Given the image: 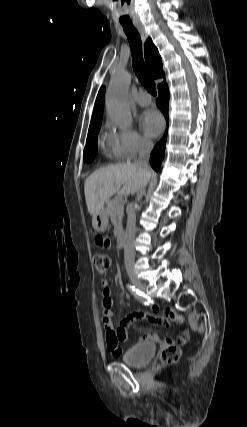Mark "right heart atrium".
Here are the masks:
<instances>
[{"label": "right heart atrium", "mask_w": 247, "mask_h": 427, "mask_svg": "<svg viewBox=\"0 0 247 427\" xmlns=\"http://www.w3.org/2000/svg\"><path fill=\"white\" fill-rule=\"evenodd\" d=\"M107 130L110 152L116 159L129 160L152 147V142L133 128L108 124Z\"/></svg>", "instance_id": "obj_1"}]
</instances>
